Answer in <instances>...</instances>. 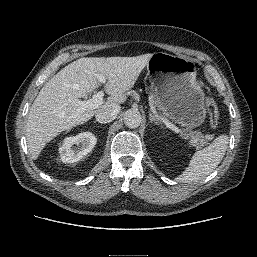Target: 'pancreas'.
I'll list each match as a JSON object with an SVG mask.
<instances>
[{
	"instance_id": "1",
	"label": "pancreas",
	"mask_w": 257,
	"mask_h": 257,
	"mask_svg": "<svg viewBox=\"0 0 257 257\" xmlns=\"http://www.w3.org/2000/svg\"><path fill=\"white\" fill-rule=\"evenodd\" d=\"M150 102L153 106L158 107L160 109L159 100L153 92H150ZM187 138L190 139L189 144L195 147L196 149H200L208 144L206 137L199 131L190 132L187 135Z\"/></svg>"
}]
</instances>
